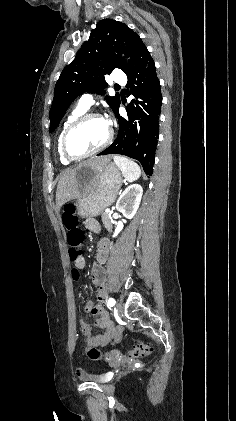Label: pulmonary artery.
I'll use <instances>...</instances> for the list:
<instances>
[{
    "label": "pulmonary artery",
    "mask_w": 236,
    "mask_h": 421,
    "mask_svg": "<svg viewBox=\"0 0 236 421\" xmlns=\"http://www.w3.org/2000/svg\"><path fill=\"white\" fill-rule=\"evenodd\" d=\"M114 86H125L127 83L125 71L123 69H116L114 71ZM94 98L92 95H84L78 101V106L84 110H88L94 104Z\"/></svg>",
    "instance_id": "obj_1"
}]
</instances>
